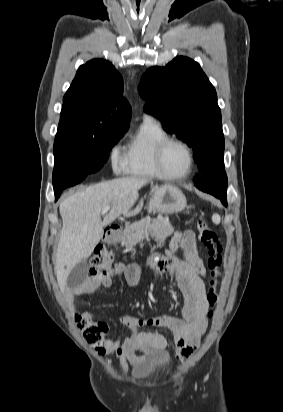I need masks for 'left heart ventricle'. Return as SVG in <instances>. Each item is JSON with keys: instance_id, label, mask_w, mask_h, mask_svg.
Listing matches in <instances>:
<instances>
[{"instance_id": "b2bd125f", "label": "left heart ventricle", "mask_w": 283, "mask_h": 412, "mask_svg": "<svg viewBox=\"0 0 283 412\" xmlns=\"http://www.w3.org/2000/svg\"><path fill=\"white\" fill-rule=\"evenodd\" d=\"M163 165L170 174L182 175L189 168V156L182 146L171 144L165 151Z\"/></svg>"}]
</instances>
